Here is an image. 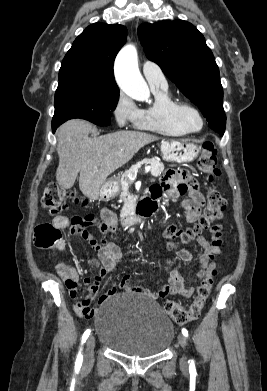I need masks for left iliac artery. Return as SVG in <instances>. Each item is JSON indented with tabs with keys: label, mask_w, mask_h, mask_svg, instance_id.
I'll return each mask as SVG.
<instances>
[{
	"label": "left iliac artery",
	"mask_w": 267,
	"mask_h": 391,
	"mask_svg": "<svg viewBox=\"0 0 267 391\" xmlns=\"http://www.w3.org/2000/svg\"><path fill=\"white\" fill-rule=\"evenodd\" d=\"M182 334L187 337L188 336V331L185 328H183L182 329ZM190 370L191 371H195V366H194V362L193 361H191V363H190Z\"/></svg>",
	"instance_id": "obj_1"
}]
</instances>
